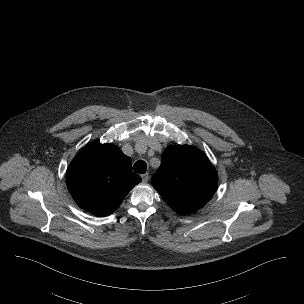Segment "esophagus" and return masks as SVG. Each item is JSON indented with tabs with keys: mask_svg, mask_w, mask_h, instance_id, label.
Segmentation results:
<instances>
[{
	"mask_svg": "<svg viewBox=\"0 0 304 304\" xmlns=\"http://www.w3.org/2000/svg\"><path fill=\"white\" fill-rule=\"evenodd\" d=\"M141 177H142V181L144 183L148 182V180H149V174L148 173L143 174Z\"/></svg>",
	"mask_w": 304,
	"mask_h": 304,
	"instance_id": "obj_1",
	"label": "esophagus"
}]
</instances>
